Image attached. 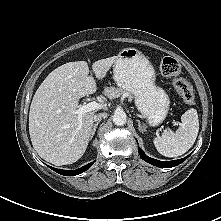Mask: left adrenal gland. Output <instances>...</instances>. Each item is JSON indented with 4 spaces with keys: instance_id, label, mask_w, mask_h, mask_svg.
Returning a JSON list of instances; mask_svg holds the SVG:
<instances>
[{
    "instance_id": "a2214340",
    "label": "left adrenal gland",
    "mask_w": 221,
    "mask_h": 221,
    "mask_svg": "<svg viewBox=\"0 0 221 221\" xmlns=\"http://www.w3.org/2000/svg\"><path fill=\"white\" fill-rule=\"evenodd\" d=\"M137 122H138V127H139L140 132H145L146 129L141 125L140 120H137Z\"/></svg>"
}]
</instances>
